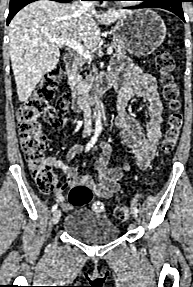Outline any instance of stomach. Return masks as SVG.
Here are the masks:
<instances>
[{
	"instance_id": "stomach-1",
	"label": "stomach",
	"mask_w": 193,
	"mask_h": 287,
	"mask_svg": "<svg viewBox=\"0 0 193 287\" xmlns=\"http://www.w3.org/2000/svg\"><path fill=\"white\" fill-rule=\"evenodd\" d=\"M113 35L131 54L146 56L163 43L166 25L156 12L141 9L120 18L114 27Z\"/></svg>"
}]
</instances>
